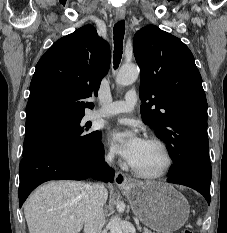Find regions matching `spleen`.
I'll return each instance as SVG.
<instances>
[{"mask_svg": "<svg viewBox=\"0 0 227 233\" xmlns=\"http://www.w3.org/2000/svg\"><path fill=\"white\" fill-rule=\"evenodd\" d=\"M201 223H202V220H201V219H198L197 224H198V225H201Z\"/></svg>", "mask_w": 227, "mask_h": 233, "instance_id": "obj_1", "label": "spleen"}]
</instances>
